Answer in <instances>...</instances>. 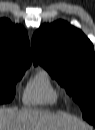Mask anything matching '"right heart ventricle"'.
<instances>
[{
	"instance_id": "right-heart-ventricle-1",
	"label": "right heart ventricle",
	"mask_w": 95,
	"mask_h": 130,
	"mask_svg": "<svg viewBox=\"0 0 95 130\" xmlns=\"http://www.w3.org/2000/svg\"><path fill=\"white\" fill-rule=\"evenodd\" d=\"M61 92L45 70L38 71L27 83L23 101L27 105H55Z\"/></svg>"
}]
</instances>
